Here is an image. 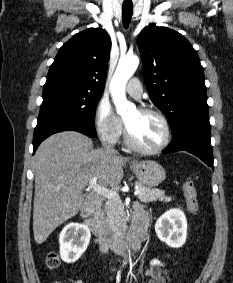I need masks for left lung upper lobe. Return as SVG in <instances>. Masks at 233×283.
I'll list each match as a JSON object with an SVG mask.
<instances>
[{
  "label": "left lung upper lobe",
  "instance_id": "1",
  "mask_svg": "<svg viewBox=\"0 0 233 283\" xmlns=\"http://www.w3.org/2000/svg\"><path fill=\"white\" fill-rule=\"evenodd\" d=\"M150 99L167 117L172 133L194 120H209L204 70L180 33L156 25L137 37Z\"/></svg>",
  "mask_w": 233,
  "mask_h": 283
}]
</instances>
